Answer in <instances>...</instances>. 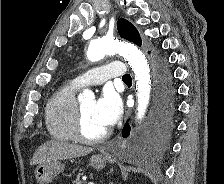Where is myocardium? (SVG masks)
Listing matches in <instances>:
<instances>
[{"instance_id":"myocardium-1","label":"myocardium","mask_w":224,"mask_h":184,"mask_svg":"<svg viewBox=\"0 0 224 184\" xmlns=\"http://www.w3.org/2000/svg\"><path fill=\"white\" fill-rule=\"evenodd\" d=\"M73 129L75 134V139L81 143L85 144H98L102 143L108 139L110 136V130L107 129L104 133L97 137H88L83 130V111L81 104L77 103L75 114H74V122Z\"/></svg>"}]
</instances>
